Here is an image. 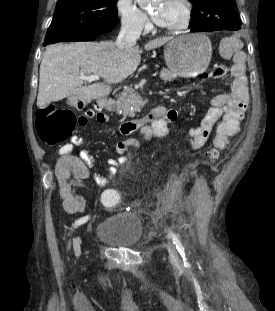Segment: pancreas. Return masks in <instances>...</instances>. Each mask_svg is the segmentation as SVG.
I'll use <instances>...</instances> for the list:
<instances>
[{
    "label": "pancreas",
    "instance_id": "cf45deb5",
    "mask_svg": "<svg viewBox=\"0 0 275 311\" xmlns=\"http://www.w3.org/2000/svg\"><path fill=\"white\" fill-rule=\"evenodd\" d=\"M160 77L164 81H173L176 75L166 68H162ZM141 106L140 96L132 87H125L124 90L116 96L113 103L117 113H121L124 117L134 116Z\"/></svg>",
    "mask_w": 275,
    "mask_h": 311
}]
</instances>
